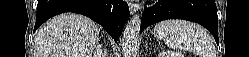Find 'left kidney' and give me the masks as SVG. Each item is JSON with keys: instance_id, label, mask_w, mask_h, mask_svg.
<instances>
[{"instance_id": "5707ae66", "label": "left kidney", "mask_w": 249, "mask_h": 57, "mask_svg": "<svg viewBox=\"0 0 249 57\" xmlns=\"http://www.w3.org/2000/svg\"><path fill=\"white\" fill-rule=\"evenodd\" d=\"M157 57H184V55L181 52L168 50L158 53Z\"/></svg>"}]
</instances>
